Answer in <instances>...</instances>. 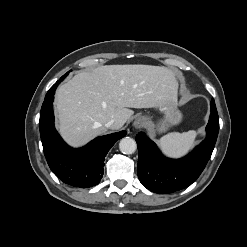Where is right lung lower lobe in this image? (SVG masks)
Here are the masks:
<instances>
[{
	"mask_svg": "<svg viewBox=\"0 0 247 247\" xmlns=\"http://www.w3.org/2000/svg\"><path fill=\"white\" fill-rule=\"evenodd\" d=\"M57 81L43 102L39 129L44 154L52 172L64 183L76 187H91L99 183L104 173L105 156L126 131L97 137L86 146L73 149L59 136L54 127L53 99Z\"/></svg>",
	"mask_w": 247,
	"mask_h": 247,
	"instance_id": "98d812e1",
	"label": "right lung lower lobe"
}]
</instances>
